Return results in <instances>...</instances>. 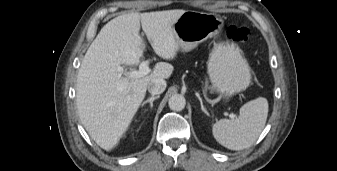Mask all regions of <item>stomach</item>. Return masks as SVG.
<instances>
[{"instance_id": "stomach-1", "label": "stomach", "mask_w": 337, "mask_h": 171, "mask_svg": "<svg viewBox=\"0 0 337 171\" xmlns=\"http://www.w3.org/2000/svg\"><path fill=\"white\" fill-rule=\"evenodd\" d=\"M223 19L212 13L185 11L174 23L173 30L182 51L188 52L208 38L217 36ZM207 72L212 88L224 97L244 91L251 83L249 64L234 43L221 42L212 50Z\"/></svg>"}]
</instances>
